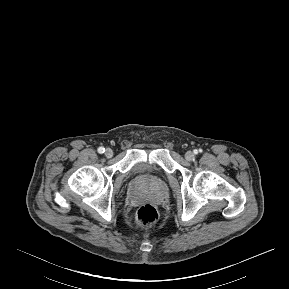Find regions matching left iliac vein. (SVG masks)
Masks as SVG:
<instances>
[{
    "instance_id": "obj_1",
    "label": "left iliac vein",
    "mask_w": 289,
    "mask_h": 289,
    "mask_svg": "<svg viewBox=\"0 0 289 289\" xmlns=\"http://www.w3.org/2000/svg\"><path fill=\"white\" fill-rule=\"evenodd\" d=\"M185 158L187 161H192L194 159V154L192 151H187L185 154Z\"/></svg>"
}]
</instances>
